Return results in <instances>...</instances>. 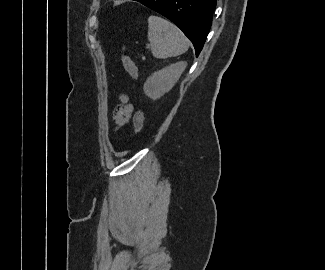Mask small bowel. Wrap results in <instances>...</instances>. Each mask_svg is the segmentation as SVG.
I'll return each instance as SVG.
<instances>
[{
  "label": "small bowel",
  "mask_w": 325,
  "mask_h": 270,
  "mask_svg": "<svg viewBox=\"0 0 325 270\" xmlns=\"http://www.w3.org/2000/svg\"><path fill=\"white\" fill-rule=\"evenodd\" d=\"M133 106L128 102V99L123 96L121 103L115 107L114 120L118 125H124L133 113Z\"/></svg>",
  "instance_id": "small-bowel-1"
}]
</instances>
